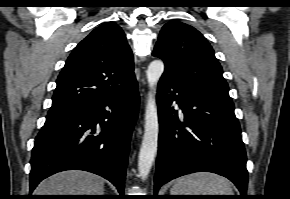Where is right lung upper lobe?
<instances>
[{"instance_id": "right-lung-upper-lobe-1", "label": "right lung upper lobe", "mask_w": 290, "mask_h": 199, "mask_svg": "<svg viewBox=\"0 0 290 199\" xmlns=\"http://www.w3.org/2000/svg\"><path fill=\"white\" fill-rule=\"evenodd\" d=\"M135 80L133 55L124 32L113 22L104 23L68 57L48 114L120 93Z\"/></svg>"}]
</instances>
